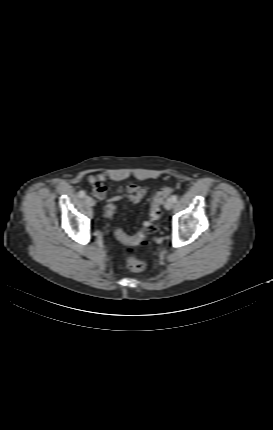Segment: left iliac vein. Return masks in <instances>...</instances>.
<instances>
[{
    "instance_id": "1",
    "label": "left iliac vein",
    "mask_w": 273,
    "mask_h": 430,
    "mask_svg": "<svg viewBox=\"0 0 273 430\" xmlns=\"http://www.w3.org/2000/svg\"><path fill=\"white\" fill-rule=\"evenodd\" d=\"M173 205H174V202H173L172 198H168L167 201L165 202L164 207L167 210H170V209H172Z\"/></svg>"
}]
</instances>
